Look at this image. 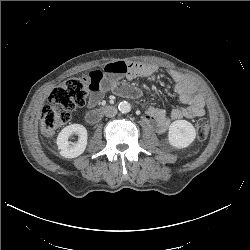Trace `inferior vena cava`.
<instances>
[{"label": "inferior vena cava", "mask_w": 250, "mask_h": 250, "mask_svg": "<svg viewBox=\"0 0 250 250\" xmlns=\"http://www.w3.org/2000/svg\"><path fill=\"white\" fill-rule=\"evenodd\" d=\"M104 114L106 117H114L117 114V109L114 106H106L104 108Z\"/></svg>", "instance_id": "1"}]
</instances>
